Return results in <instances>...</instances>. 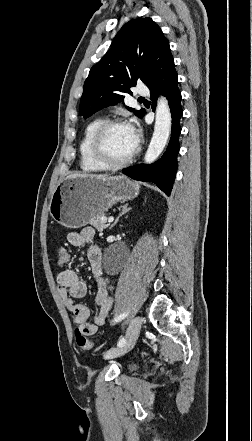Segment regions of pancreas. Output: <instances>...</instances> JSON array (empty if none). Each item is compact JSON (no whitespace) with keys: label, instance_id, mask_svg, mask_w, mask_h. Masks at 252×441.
Returning a JSON list of instances; mask_svg holds the SVG:
<instances>
[{"label":"pancreas","instance_id":"obj_1","mask_svg":"<svg viewBox=\"0 0 252 441\" xmlns=\"http://www.w3.org/2000/svg\"><path fill=\"white\" fill-rule=\"evenodd\" d=\"M89 223L95 227L98 231H103L104 229L107 228L108 224H107V220L106 219H102L101 217L98 218H92Z\"/></svg>","mask_w":252,"mask_h":441}]
</instances>
